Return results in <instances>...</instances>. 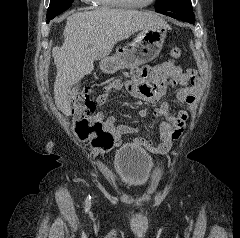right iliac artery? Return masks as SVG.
Here are the masks:
<instances>
[{
    "mask_svg": "<svg viewBox=\"0 0 240 238\" xmlns=\"http://www.w3.org/2000/svg\"><path fill=\"white\" fill-rule=\"evenodd\" d=\"M90 199H91L90 197L86 199V204H87V205H90V203H91V200H90Z\"/></svg>",
    "mask_w": 240,
    "mask_h": 238,
    "instance_id": "right-iliac-artery-1",
    "label": "right iliac artery"
}]
</instances>
